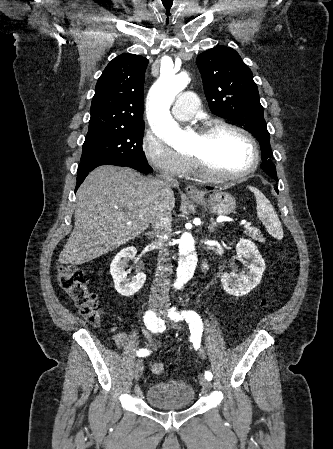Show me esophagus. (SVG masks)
I'll list each match as a JSON object with an SVG mask.
<instances>
[{
    "label": "esophagus",
    "mask_w": 333,
    "mask_h": 449,
    "mask_svg": "<svg viewBox=\"0 0 333 449\" xmlns=\"http://www.w3.org/2000/svg\"><path fill=\"white\" fill-rule=\"evenodd\" d=\"M185 192L190 197H200L202 196L201 192L196 186L193 185H187L185 187Z\"/></svg>",
    "instance_id": "obj_1"
}]
</instances>
